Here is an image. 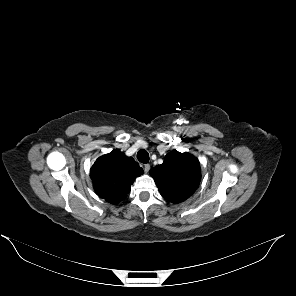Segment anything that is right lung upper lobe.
<instances>
[{
  "label": "right lung upper lobe",
  "instance_id": "obj_1",
  "mask_svg": "<svg viewBox=\"0 0 296 296\" xmlns=\"http://www.w3.org/2000/svg\"><path fill=\"white\" fill-rule=\"evenodd\" d=\"M142 174L139 164L118 149L100 156L90 170L95 192L111 204L125 199L135 178Z\"/></svg>",
  "mask_w": 296,
  "mask_h": 296
}]
</instances>
